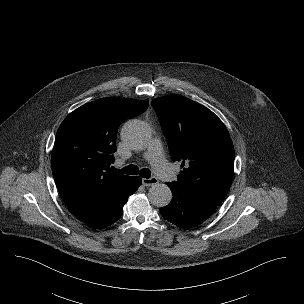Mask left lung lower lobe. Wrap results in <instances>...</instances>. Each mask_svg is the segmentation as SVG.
I'll list each match as a JSON object with an SVG mask.
<instances>
[{
	"mask_svg": "<svg viewBox=\"0 0 304 304\" xmlns=\"http://www.w3.org/2000/svg\"><path fill=\"white\" fill-rule=\"evenodd\" d=\"M169 205L160 208L161 215L169 222L182 228H192L205 221L217 208V205L200 200L192 195L174 188Z\"/></svg>",
	"mask_w": 304,
	"mask_h": 304,
	"instance_id": "1",
	"label": "left lung lower lobe"
}]
</instances>
